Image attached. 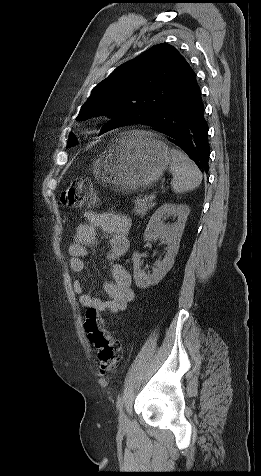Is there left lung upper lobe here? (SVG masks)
Here are the masks:
<instances>
[{
	"label": "left lung upper lobe",
	"instance_id": "5c2ea615",
	"mask_svg": "<svg viewBox=\"0 0 261 476\" xmlns=\"http://www.w3.org/2000/svg\"><path fill=\"white\" fill-rule=\"evenodd\" d=\"M195 73L178 50L166 43L118 66L95 86L77 119L107 115L100 134L160 115L191 83ZM76 145L71 133L67 147Z\"/></svg>",
	"mask_w": 261,
	"mask_h": 476
}]
</instances>
